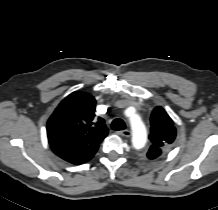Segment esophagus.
<instances>
[{
  "mask_svg": "<svg viewBox=\"0 0 218 210\" xmlns=\"http://www.w3.org/2000/svg\"><path fill=\"white\" fill-rule=\"evenodd\" d=\"M117 134L124 137H129L131 135V132L130 130L126 129V130L118 131Z\"/></svg>",
  "mask_w": 218,
  "mask_h": 210,
  "instance_id": "1",
  "label": "esophagus"
}]
</instances>
